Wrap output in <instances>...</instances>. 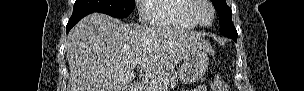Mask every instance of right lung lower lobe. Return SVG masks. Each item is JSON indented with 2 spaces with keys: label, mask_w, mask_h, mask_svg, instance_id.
I'll use <instances>...</instances> for the list:
<instances>
[{
  "label": "right lung lower lobe",
  "mask_w": 304,
  "mask_h": 91,
  "mask_svg": "<svg viewBox=\"0 0 304 91\" xmlns=\"http://www.w3.org/2000/svg\"><path fill=\"white\" fill-rule=\"evenodd\" d=\"M90 14V12H78V13H74L72 14L71 18L69 19V22L66 26V31L67 33L70 31V29L76 24L78 23L83 17H85L86 15Z\"/></svg>",
  "instance_id": "obj_1"
}]
</instances>
